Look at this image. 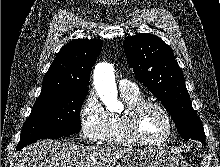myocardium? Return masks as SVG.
Returning a JSON list of instances; mask_svg holds the SVG:
<instances>
[{"label":"myocardium","instance_id":"obj_1","mask_svg":"<svg viewBox=\"0 0 220 167\" xmlns=\"http://www.w3.org/2000/svg\"><path fill=\"white\" fill-rule=\"evenodd\" d=\"M148 107H155L159 109L164 114L168 123L167 134L157 140L144 139L138 132L139 118L142 112ZM121 116L125 137L132 144L148 147L160 146L168 142L174 134V120L167 108L160 102L152 100H142L128 106Z\"/></svg>","mask_w":220,"mask_h":167}]
</instances>
